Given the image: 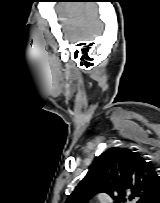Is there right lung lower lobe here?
Here are the masks:
<instances>
[{"mask_svg": "<svg viewBox=\"0 0 160 203\" xmlns=\"http://www.w3.org/2000/svg\"><path fill=\"white\" fill-rule=\"evenodd\" d=\"M150 203H160V195H158L154 200H152Z\"/></svg>", "mask_w": 160, "mask_h": 203, "instance_id": "98d812e1", "label": "right lung lower lobe"}]
</instances>
